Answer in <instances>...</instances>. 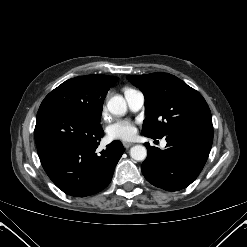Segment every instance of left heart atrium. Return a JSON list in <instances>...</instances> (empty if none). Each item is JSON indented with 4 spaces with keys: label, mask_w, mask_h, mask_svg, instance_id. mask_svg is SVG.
Segmentation results:
<instances>
[{
    "label": "left heart atrium",
    "mask_w": 247,
    "mask_h": 247,
    "mask_svg": "<svg viewBox=\"0 0 247 247\" xmlns=\"http://www.w3.org/2000/svg\"><path fill=\"white\" fill-rule=\"evenodd\" d=\"M135 132L134 124L127 120H120L111 124L107 133L111 139L129 140Z\"/></svg>",
    "instance_id": "39dd6f15"
}]
</instances>
